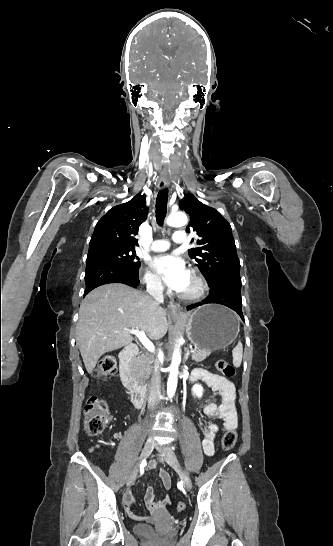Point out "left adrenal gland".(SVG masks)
I'll return each mask as SVG.
<instances>
[{
    "label": "left adrenal gland",
    "mask_w": 333,
    "mask_h": 546,
    "mask_svg": "<svg viewBox=\"0 0 333 546\" xmlns=\"http://www.w3.org/2000/svg\"><path fill=\"white\" fill-rule=\"evenodd\" d=\"M188 356H189V351H187L186 355H185V360L188 359Z\"/></svg>",
    "instance_id": "left-adrenal-gland-1"
}]
</instances>
